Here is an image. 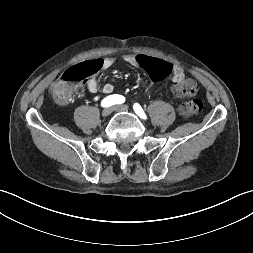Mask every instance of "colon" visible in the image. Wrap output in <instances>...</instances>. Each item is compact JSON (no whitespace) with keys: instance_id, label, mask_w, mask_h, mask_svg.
<instances>
[{"instance_id":"1","label":"colon","mask_w":253,"mask_h":253,"mask_svg":"<svg viewBox=\"0 0 253 253\" xmlns=\"http://www.w3.org/2000/svg\"><path fill=\"white\" fill-rule=\"evenodd\" d=\"M135 62L140 65L143 71H147L152 80L158 81L167 77L171 73V65L158 60L153 55L146 56L138 54ZM100 70L98 60H90L68 68L61 78L53 85L52 94L56 101L66 103L71 98L74 84L87 79ZM197 84L194 79L183 76L174 85V92L179 96H191L196 92ZM203 109V102L200 99H192L184 102L179 107V112L183 117H193Z\"/></svg>"}]
</instances>
